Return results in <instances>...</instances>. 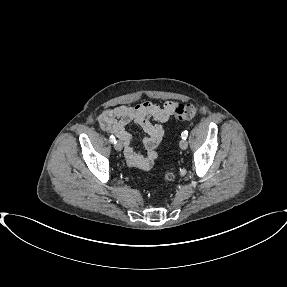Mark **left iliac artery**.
Listing matches in <instances>:
<instances>
[{
	"label": "left iliac artery",
	"instance_id": "obj_1",
	"mask_svg": "<svg viewBox=\"0 0 287 287\" xmlns=\"http://www.w3.org/2000/svg\"><path fill=\"white\" fill-rule=\"evenodd\" d=\"M187 136H188V132L187 131L182 132V134H181V138L182 139L186 140Z\"/></svg>",
	"mask_w": 287,
	"mask_h": 287
}]
</instances>
